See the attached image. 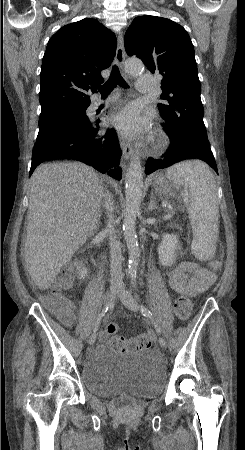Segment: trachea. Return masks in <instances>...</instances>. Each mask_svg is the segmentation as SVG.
Instances as JSON below:
<instances>
[{
  "mask_svg": "<svg viewBox=\"0 0 245 450\" xmlns=\"http://www.w3.org/2000/svg\"><path fill=\"white\" fill-rule=\"evenodd\" d=\"M117 85L124 88L127 87L125 80L120 74L119 68L114 65L109 79L99 87V92L102 96L108 95Z\"/></svg>",
  "mask_w": 245,
  "mask_h": 450,
  "instance_id": "trachea-1",
  "label": "trachea"
}]
</instances>
